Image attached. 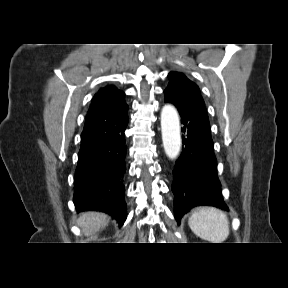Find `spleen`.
Masks as SVG:
<instances>
[{
  "mask_svg": "<svg viewBox=\"0 0 288 288\" xmlns=\"http://www.w3.org/2000/svg\"><path fill=\"white\" fill-rule=\"evenodd\" d=\"M188 224L195 235L211 243H222L229 236V222L226 215L213 207L195 210Z\"/></svg>",
  "mask_w": 288,
  "mask_h": 288,
  "instance_id": "1",
  "label": "spleen"
}]
</instances>
